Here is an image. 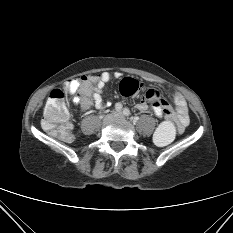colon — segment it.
Wrapping results in <instances>:
<instances>
[{"label": "colon", "mask_w": 233, "mask_h": 233, "mask_svg": "<svg viewBox=\"0 0 233 233\" xmlns=\"http://www.w3.org/2000/svg\"><path fill=\"white\" fill-rule=\"evenodd\" d=\"M83 80L85 89L91 90L97 80V76L83 77ZM140 86L137 80L125 78L120 83V92L124 96H130L135 94ZM145 98L150 101L158 100L160 94L158 91L150 89L146 92ZM163 112L167 120L158 126L154 134V141L159 146L171 143L176 134L175 126L171 121V111L165 108ZM42 124L51 134L63 141L70 142L73 139V128L68 121L64 94L61 90L54 89L50 92L45 105Z\"/></svg>", "instance_id": "5ec220e1"}]
</instances>
